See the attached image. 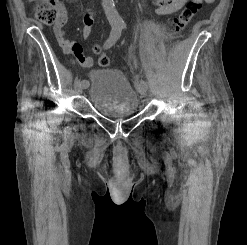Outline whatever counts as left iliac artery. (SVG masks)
<instances>
[{"label": "left iliac artery", "instance_id": "1", "mask_svg": "<svg viewBox=\"0 0 247 245\" xmlns=\"http://www.w3.org/2000/svg\"><path fill=\"white\" fill-rule=\"evenodd\" d=\"M125 27H126V25H125V24H122V25H121V28H125ZM140 84L146 85V82H145V81H143V80H141V81H140Z\"/></svg>", "mask_w": 247, "mask_h": 245}]
</instances>
